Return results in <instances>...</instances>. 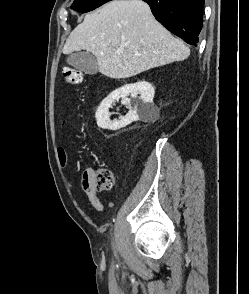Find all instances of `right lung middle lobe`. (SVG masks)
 Instances as JSON below:
<instances>
[{
	"instance_id": "right-lung-middle-lobe-1",
	"label": "right lung middle lobe",
	"mask_w": 249,
	"mask_h": 294,
	"mask_svg": "<svg viewBox=\"0 0 249 294\" xmlns=\"http://www.w3.org/2000/svg\"><path fill=\"white\" fill-rule=\"evenodd\" d=\"M111 0H74L71 8L81 13H86Z\"/></svg>"
}]
</instances>
